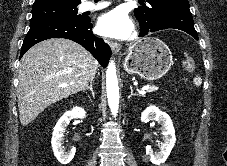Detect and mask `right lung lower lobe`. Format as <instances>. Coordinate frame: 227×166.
Wrapping results in <instances>:
<instances>
[{
	"label": "right lung lower lobe",
	"instance_id": "obj_1",
	"mask_svg": "<svg viewBox=\"0 0 227 166\" xmlns=\"http://www.w3.org/2000/svg\"><path fill=\"white\" fill-rule=\"evenodd\" d=\"M90 18L81 20L51 19L30 26L22 48L20 58L33 45L50 38H66L81 44L105 68L111 56V49L103 39L92 33Z\"/></svg>",
	"mask_w": 227,
	"mask_h": 166
}]
</instances>
